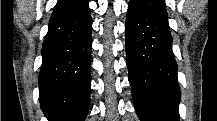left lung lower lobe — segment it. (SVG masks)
<instances>
[{
    "mask_svg": "<svg viewBox=\"0 0 217 121\" xmlns=\"http://www.w3.org/2000/svg\"><path fill=\"white\" fill-rule=\"evenodd\" d=\"M126 58L141 121H179L180 88L164 0H130Z\"/></svg>",
    "mask_w": 217,
    "mask_h": 121,
    "instance_id": "1",
    "label": "left lung lower lobe"
}]
</instances>
